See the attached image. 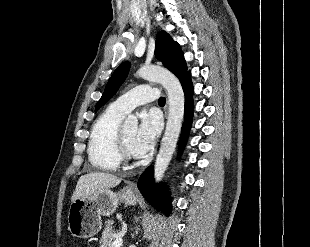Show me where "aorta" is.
<instances>
[{
  "label": "aorta",
  "instance_id": "aorta-1",
  "mask_svg": "<svg viewBox=\"0 0 310 247\" xmlns=\"http://www.w3.org/2000/svg\"><path fill=\"white\" fill-rule=\"evenodd\" d=\"M138 75L143 79L161 83L168 95L169 113L166 130L154 166V179L158 183L169 166L180 135L184 116V92L179 80L164 68L143 66L138 70ZM126 124L136 127L138 124L137 117L129 115Z\"/></svg>",
  "mask_w": 310,
  "mask_h": 247
}]
</instances>
